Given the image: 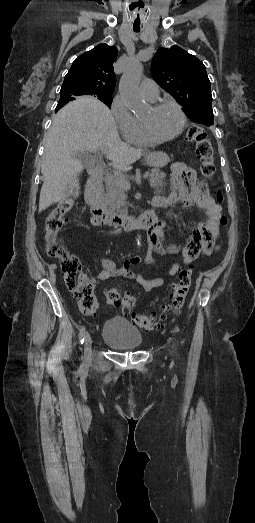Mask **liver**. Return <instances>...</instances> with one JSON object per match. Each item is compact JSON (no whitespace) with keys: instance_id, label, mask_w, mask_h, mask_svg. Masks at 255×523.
Here are the masks:
<instances>
[{"instance_id":"1","label":"liver","mask_w":255,"mask_h":523,"mask_svg":"<svg viewBox=\"0 0 255 523\" xmlns=\"http://www.w3.org/2000/svg\"><path fill=\"white\" fill-rule=\"evenodd\" d=\"M106 152L113 168L129 172L131 164L140 160L142 150L130 148L119 138L111 110L92 96H81L55 114L45 140L44 160L41 174L45 180L39 198V214L61 200L67 194L77 174L84 170L75 158L76 152ZM168 160L166 154L157 152Z\"/></svg>"}]
</instances>
